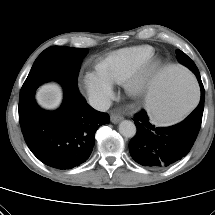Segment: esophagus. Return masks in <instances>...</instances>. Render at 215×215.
Listing matches in <instances>:
<instances>
[{
	"instance_id": "obj_1",
	"label": "esophagus",
	"mask_w": 215,
	"mask_h": 215,
	"mask_svg": "<svg viewBox=\"0 0 215 215\" xmlns=\"http://www.w3.org/2000/svg\"><path fill=\"white\" fill-rule=\"evenodd\" d=\"M122 119H123V117L118 114H111V116H110V120L112 123H118Z\"/></svg>"
}]
</instances>
